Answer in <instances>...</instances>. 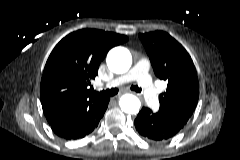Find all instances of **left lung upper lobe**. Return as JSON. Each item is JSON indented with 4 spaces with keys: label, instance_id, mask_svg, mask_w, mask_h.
<instances>
[{
    "label": "left lung upper lobe",
    "instance_id": "1",
    "mask_svg": "<svg viewBox=\"0 0 240 160\" xmlns=\"http://www.w3.org/2000/svg\"><path fill=\"white\" fill-rule=\"evenodd\" d=\"M139 38L155 75L167 82V89L159 98V111L185 125L199 98L197 72L190 55L166 32L140 34Z\"/></svg>",
    "mask_w": 240,
    "mask_h": 160
}]
</instances>
